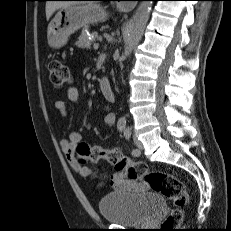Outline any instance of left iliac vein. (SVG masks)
<instances>
[{
    "mask_svg": "<svg viewBox=\"0 0 231 231\" xmlns=\"http://www.w3.org/2000/svg\"><path fill=\"white\" fill-rule=\"evenodd\" d=\"M133 140H134V143H135V145L137 146V148L139 149V150H142L143 149V144H142V142L140 141V140H138V138L137 137H133Z\"/></svg>",
    "mask_w": 231,
    "mask_h": 231,
    "instance_id": "left-iliac-vein-1",
    "label": "left iliac vein"
}]
</instances>
